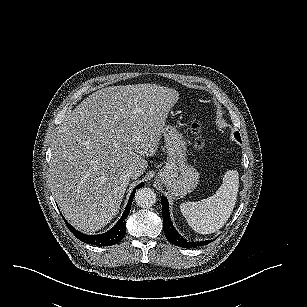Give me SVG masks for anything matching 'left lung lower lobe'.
<instances>
[{
	"instance_id": "0a47b994",
	"label": "left lung lower lobe",
	"mask_w": 307,
	"mask_h": 307,
	"mask_svg": "<svg viewBox=\"0 0 307 307\" xmlns=\"http://www.w3.org/2000/svg\"><path fill=\"white\" fill-rule=\"evenodd\" d=\"M161 202H162V213H163V228H164V233L167 238L172 244L183 247V248H191V247H196V246H202V245H207L210 242L214 240H208V241H203V242H187L183 237L178 234V232L175 230L171 220H170V215H169V206H168V201L165 196L161 197Z\"/></svg>"
}]
</instances>
